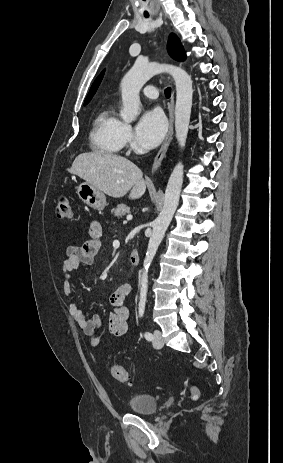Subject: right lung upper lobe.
Segmentation results:
<instances>
[{
    "instance_id": "cb5924a9",
    "label": "right lung upper lobe",
    "mask_w": 283,
    "mask_h": 463,
    "mask_svg": "<svg viewBox=\"0 0 283 463\" xmlns=\"http://www.w3.org/2000/svg\"><path fill=\"white\" fill-rule=\"evenodd\" d=\"M103 75H104V70L100 73V75L96 78V80L92 84L91 89H90L84 103H88L92 99L93 95L97 91V88H98L99 84L101 83Z\"/></svg>"
}]
</instances>
